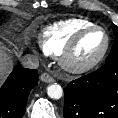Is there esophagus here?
<instances>
[{
    "label": "esophagus",
    "mask_w": 118,
    "mask_h": 118,
    "mask_svg": "<svg viewBox=\"0 0 118 118\" xmlns=\"http://www.w3.org/2000/svg\"><path fill=\"white\" fill-rule=\"evenodd\" d=\"M40 78L45 83H52L54 81V78L48 73H43Z\"/></svg>",
    "instance_id": "34e87169"
}]
</instances>
